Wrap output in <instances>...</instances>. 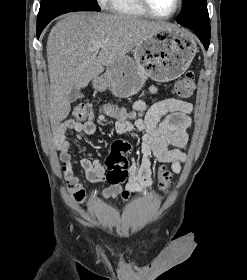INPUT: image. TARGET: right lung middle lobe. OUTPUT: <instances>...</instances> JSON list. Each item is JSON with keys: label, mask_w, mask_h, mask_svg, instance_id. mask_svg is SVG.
I'll return each mask as SVG.
<instances>
[{"label": "right lung middle lobe", "mask_w": 247, "mask_h": 280, "mask_svg": "<svg viewBox=\"0 0 247 280\" xmlns=\"http://www.w3.org/2000/svg\"><path fill=\"white\" fill-rule=\"evenodd\" d=\"M96 0H42L37 25H47L55 17L72 11H100Z\"/></svg>", "instance_id": "1"}]
</instances>
